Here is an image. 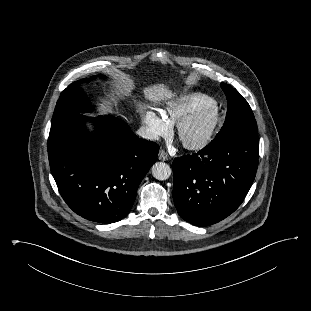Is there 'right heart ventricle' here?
Instances as JSON below:
<instances>
[{
  "instance_id": "1",
  "label": "right heart ventricle",
  "mask_w": 311,
  "mask_h": 311,
  "mask_svg": "<svg viewBox=\"0 0 311 311\" xmlns=\"http://www.w3.org/2000/svg\"><path fill=\"white\" fill-rule=\"evenodd\" d=\"M212 101L211 97L202 93L184 94L167 103L162 117L170 126H173L199 107Z\"/></svg>"
}]
</instances>
